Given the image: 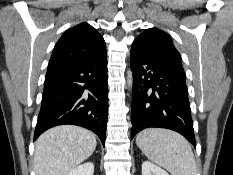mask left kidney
I'll use <instances>...</instances> for the list:
<instances>
[{"instance_id": "obj_1", "label": "left kidney", "mask_w": 233, "mask_h": 175, "mask_svg": "<svg viewBox=\"0 0 233 175\" xmlns=\"http://www.w3.org/2000/svg\"><path fill=\"white\" fill-rule=\"evenodd\" d=\"M142 175H169V174L159 166L149 161H144L142 163Z\"/></svg>"}]
</instances>
